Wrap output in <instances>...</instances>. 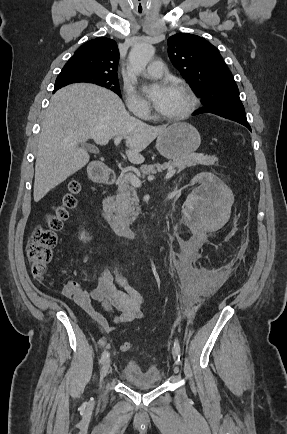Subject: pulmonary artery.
Listing matches in <instances>:
<instances>
[{
  "label": "pulmonary artery",
  "instance_id": "1",
  "mask_svg": "<svg viewBox=\"0 0 287 434\" xmlns=\"http://www.w3.org/2000/svg\"><path fill=\"white\" fill-rule=\"evenodd\" d=\"M164 73L165 68L163 66V62L161 60H155L149 64L143 74L146 77L159 78L162 77Z\"/></svg>",
  "mask_w": 287,
  "mask_h": 434
}]
</instances>
